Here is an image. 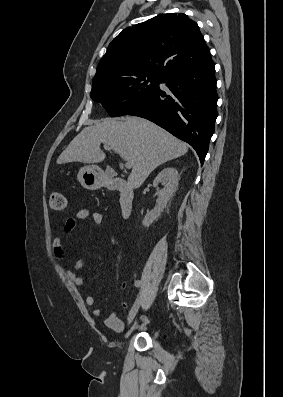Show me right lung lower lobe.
I'll list each match as a JSON object with an SVG mask.
<instances>
[{"label": "right lung lower lobe", "instance_id": "obj_1", "mask_svg": "<svg viewBox=\"0 0 283 397\" xmlns=\"http://www.w3.org/2000/svg\"><path fill=\"white\" fill-rule=\"evenodd\" d=\"M214 67L211 59L170 74L162 81L170 95L159 89L127 114L146 118L189 143L203 164L218 116Z\"/></svg>", "mask_w": 283, "mask_h": 397}]
</instances>
